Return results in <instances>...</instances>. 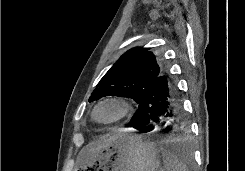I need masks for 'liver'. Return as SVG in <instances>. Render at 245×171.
I'll list each match as a JSON object with an SVG mask.
<instances>
[{"instance_id": "obj_1", "label": "liver", "mask_w": 245, "mask_h": 171, "mask_svg": "<svg viewBox=\"0 0 245 171\" xmlns=\"http://www.w3.org/2000/svg\"><path fill=\"white\" fill-rule=\"evenodd\" d=\"M115 135L114 136H104L103 138H101L100 141H98V143L96 145L90 146L88 148H86L83 153L84 154H89V153H94L96 151H99L103 148L108 147L112 141L115 139Z\"/></svg>"}]
</instances>
